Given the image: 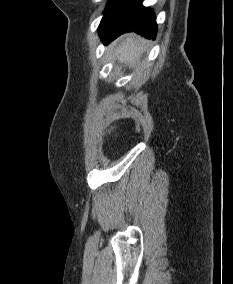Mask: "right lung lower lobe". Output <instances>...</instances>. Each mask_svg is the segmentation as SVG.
Listing matches in <instances>:
<instances>
[{
    "label": "right lung lower lobe",
    "mask_w": 233,
    "mask_h": 284,
    "mask_svg": "<svg viewBox=\"0 0 233 284\" xmlns=\"http://www.w3.org/2000/svg\"><path fill=\"white\" fill-rule=\"evenodd\" d=\"M131 31L155 39L157 24L153 11L143 7L141 0H114L99 25L100 37L108 43Z\"/></svg>",
    "instance_id": "98d812e1"
}]
</instances>
